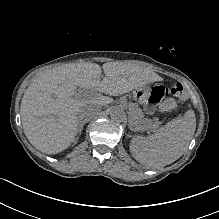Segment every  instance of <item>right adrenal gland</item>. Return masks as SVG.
I'll return each instance as SVG.
<instances>
[{
	"mask_svg": "<svg viewBox=\"0 0 219 219\" xmlns=\"http://www.w3.org/2000/svg\"><path fill=\"white\" fill-rule=\"evenodd\" d=\"M84 125H85L84 122H81V123L79 124V128H78V131H77V133H78L79 135H81Z\"/></svg>",
	"mask_w": 219,
	"mask_h": 219,
	"instance_id": "1",
	"label": "right adrenal gland"
}]
</instances>
